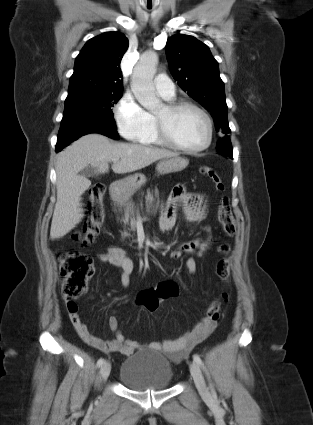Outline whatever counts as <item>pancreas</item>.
Wrapping results in <instances>:
<instances>
[{
    "label": "pancreas",
    "instance_id": "obj_1",
    "mask_svg": "<svg viewBox=\"0 0 313 425\" xmlns=\"http://www.w3.org/2000/svg\"><path fill=\"white\" fill-rule=\"evenodd\" d=\"M155 196L158 197V191H155ZM154 202H155V199L153 197V194H151L150 191H148L147 196H146V204L149 208L153 207V210L155 211L159 206V200H157L155 205H153ZM135 212H136V209L134 207V203L131 202V201L128 202L126 204V208H125V211H124L123 222L125 224H130L131 230H133V231L135 230V227H136V225H135V223H136ZM121 236L124 239V238L129 236V233L127 231H124L121 234Z\"/></svg>",
    "mask_w": 313,
    "mask_h": 425
}]
</instances>
